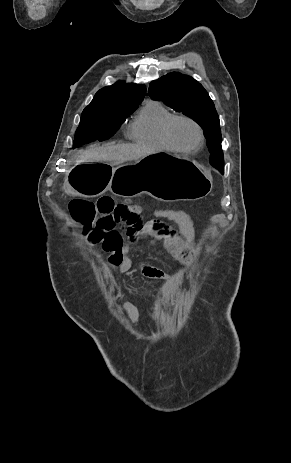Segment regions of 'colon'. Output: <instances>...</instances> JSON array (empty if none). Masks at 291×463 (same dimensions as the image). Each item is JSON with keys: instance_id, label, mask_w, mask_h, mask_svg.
Listing matches in <instances>:
<instances>
[{"instance_id": "1", "label": "colon", "mask_w": 291, "mask_h": 463, "mask_svg": "<svg viewBox=\"0 0 291 463\" xmlns=\"http://www.w3.org/2000/svg\"><path fill=\"white\" fill-rule=\"evenodd\" d=\"M130 207L128 202H116L107 196L96 201L76 198L69 203V214L79 221L85 230H110L125 221Z\"/></svg>"}]
</instances>
